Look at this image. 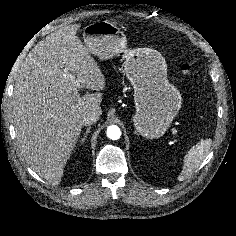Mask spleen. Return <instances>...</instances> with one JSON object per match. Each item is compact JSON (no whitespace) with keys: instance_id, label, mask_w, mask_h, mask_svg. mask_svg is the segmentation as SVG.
<instances>
[{"instance_id":"spleen-1","label":"spleen","mask_w":236,"mask_h":236,"mask_svg":"<svg viewBox=\"0 0 236 236\" xmlns=\"http://www.w3.org/2000/svg\"><path fill=\"white\" fill-rule=\"evenodd\" d=\"M211 145V139L202 140L189 150L188 154L184 157L183 169L178 177L179 181L186 180L197 168H199L206 158Z\"/></svg>"}]
</instances>
